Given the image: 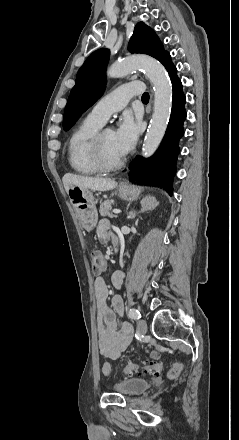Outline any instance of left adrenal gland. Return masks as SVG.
<instances>
[{"instance_id": "left-adrenal-gland-1", "label": "left adrenal gland", "mask_w": 239, "mask_h": 440, "mask_svg": "<svg viewBox=\"0 0 239 440\" xmlns=\"http://www.w3.org/2000/svg\"><path fill=\"white\" fill-rule=\"evenodd\" d=\"M141 204H142L141 212H145V210H150V208H155L153 204H145V202H141ZM141 212H139V214H141ZM135 216L136 214H134V212H129L128 218H130V220H134Z\"/></svg>"}]
</instances>
